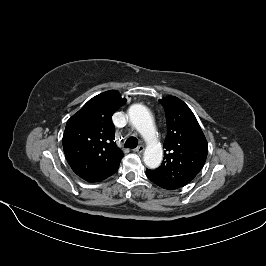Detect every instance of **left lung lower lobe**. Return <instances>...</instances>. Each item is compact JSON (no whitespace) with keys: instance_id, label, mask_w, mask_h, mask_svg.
I'll list each match as a JSON object with an SVG mask.
<instances>
[{"instance_id":"left-lung-lower-lobe-1","label":"left lung lower lobe","mask_w":266,"mask_h":266,"mask_svg":"<svg viewBox=\"0 0 266 266\" xmlns=\"http://www.w3.org/2000/svg\"><path fill=\"white\" fill-rule=\"evenodd\" d=\"M146 176L152 181L154 182L156 185L164 188V189H168V190H174L177 188H174L170 185H168L167 183H165L164 181H162L158 176H156L152 170H146Z\"/></svg>"}]
</instances>
